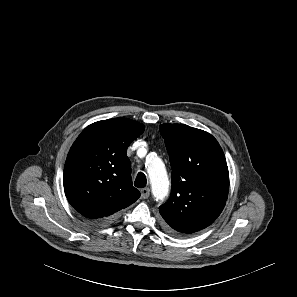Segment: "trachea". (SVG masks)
<instances>
[{"instance_id":"trachea-1","label":"trachea","mask_w":297,"mask_h":297,"mask_svg":"<svg viewBox=\"0 0 297 297\" xmlns=\"http://www.w3.org/2000/svg\"><path fill=\"white\" fill-rule=\"evenodd\" d=\"M147 184V179L144 173L139 172L136 176L134 185L138 188H143L145 187Z\"/></svg>"}]
</instances>
